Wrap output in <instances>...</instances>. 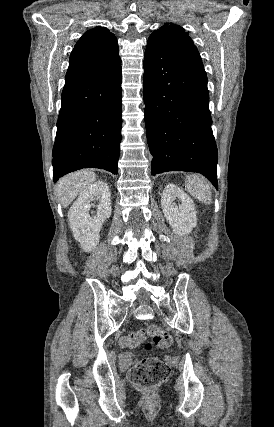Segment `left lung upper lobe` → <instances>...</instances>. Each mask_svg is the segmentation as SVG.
I'll return each instance as SVG.
<instances>
[{
    "label": "left lung upper lobe",
    "mask_w": 274,
    "mask_h": 427,
    "mask_svg": "<svg viewBox=\"0 0 274 427\" xmlns=\"http://www.w3.org/2000/svg\"><path fill=\"white\" fill-rule=\"evenodd\" d=\"M149 39L163 40L178 51L201 60L200 54L192 39L180 26H176L172 23L170 25L166 24L160 27L159 30L154 31Z\"/></svg>",
    "instance_id": "1"
}]
</instances>
